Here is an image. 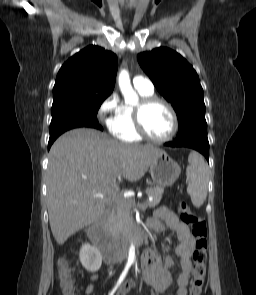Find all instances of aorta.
<instances>
[{
  "instance_id": "obj_1",
  "label": "aorta",
  "mask_w": 256,
  "mask_h": 295,
  "mask_svg": "<svg viewBox=\"0 0 256 295\" xmlns=\"http://www.w3.org/2000/svg\"><path fill=\"white\" fill-rule=\"evenodd\" d=\"M118 84L121 93L124 97L125 103L135 105L138 102V95L134 91L131 85L129 73L127 70H121L118 76ZM135 259V248L133 245L130 246L128 260L133 261Z\"/></svg>"
}]
</instances>
